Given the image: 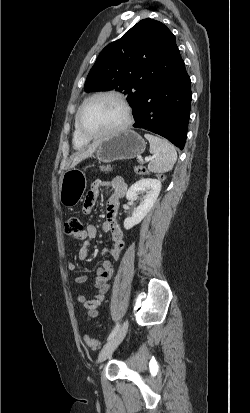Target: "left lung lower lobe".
<instances>
[{"instance_id": "obj_1", "label": "left lung lower lobe", "mask_w": 250, "mask_h": 413, "mask_svg": "<svg viewBox=\"0 0 250 413\" xmlns=\"http://www.w3.org/2000/svg\"><path fill=\"white\" fill-rule=\"evenodd\" d=\"M191 82L174 42L165 66L145 81L132 105L136 128L167 138L184 148L190 116Z\"/></svg>"}]
</instances>
